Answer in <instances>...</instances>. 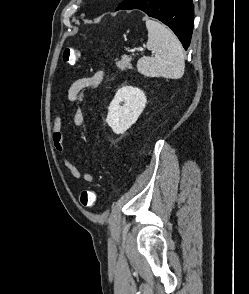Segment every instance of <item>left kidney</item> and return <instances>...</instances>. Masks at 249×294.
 I'll return each instance as SVG.
<instances>
[{"label":"left kidney","mask_w":249,"mask_h":294,"mask_svg":"<svg viewBox=\"0 0 249 294\" xmlns=\"http://www.w3.org/2000/svg\"><path fill=\"white\" fill-rule=\"evenodd\" d=\"M146 103V96L141 89L133 86L120 88L108 107L107 124L114 133L123 134L136 123Z\"/></svg>","instance_id":"obj_1"}]
</instances>
